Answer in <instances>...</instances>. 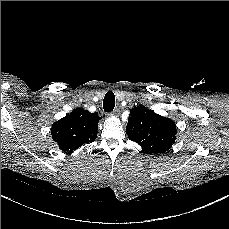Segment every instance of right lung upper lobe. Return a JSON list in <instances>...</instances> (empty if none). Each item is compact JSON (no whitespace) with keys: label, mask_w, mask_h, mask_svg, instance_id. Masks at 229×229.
<instances>
[{"label":"right lung upper lobe","mask_w":229,"mask_h":229,"mask_svg":"<svg viewBox=\"0 0 229 229\" xmlns=\"http://www.w3.org/2000/svg\"><path fill=\"white\" fill-rule=\"evenodd\" d=\"M99 120L97 113H90L82 108L74 109L72 113L53 123V140L62 151L70 153L95 140Z\"/></svg>","instance_id":"cb5924a9"}]
</instances>
